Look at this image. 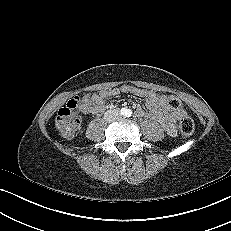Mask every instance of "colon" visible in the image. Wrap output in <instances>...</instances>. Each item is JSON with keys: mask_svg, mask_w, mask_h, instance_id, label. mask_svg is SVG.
I'll return each instance as SVG.
<instances>
[{"mask_svg": "<svg viewBox=\"0 0 231 231\" xmlns=\"http://www.w3.org/2000/svg\"><path fill=\"white\" fill-rule=\"evenodd\" d=\"M167 105L173 110H181L182 102L175 96L167 97ZM83 111L79 104V99L74 98L62 107L56 116L55 125L58 132L63 137H71L79 126ZM180 132L185 136H190L195 130V124L191 117L186 114L179 121Z\"/></svg>", "mask_w": 231, "mask_h": 231, "instance_id": "5ec220e1", "label": "colon"}]
</instances>
